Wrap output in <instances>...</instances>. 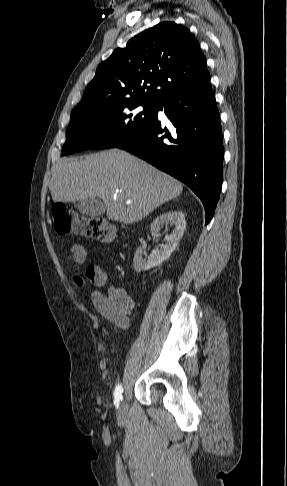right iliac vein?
<instances>
[{
	"instance_id": "63e3f726",
	"label": "right iliac vein",
	"mask_w": 287,
	"mask_h": 486,
	"mask_svg": "<svg viewBox=\"0 0 287 486\" xmlns=\"http://www.w3.org/2000/svg\"><path fill=\"white\" fill-rule=\"evenodd\" d=\"M125 410V406H124V403L122 402L119 406H118V412L121 414L123 413Z\"/></svg>"
}]
</instances>
